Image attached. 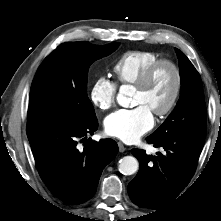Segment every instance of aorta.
<instances>
[{"label":"aorta","instance_id":"1","mask_svg":"<svg viewBox=\"0 0 221 221\" xmlns=\"http://www.w3.org/2000/svg\"><path fill=\"white\" fill-rule=\"evenodd\" d=\"M129 92L126 87H121L119 94L117 95V102L123 107H127L129 102L127 96ZM139 167L138 160L133 156H125L119 160L118 169L124 175L134 174Z\"/></svg>","mask_w":221,"mask_h":221}]
</instances>
